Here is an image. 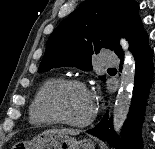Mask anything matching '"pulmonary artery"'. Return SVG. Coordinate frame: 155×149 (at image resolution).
Returning <instances> with one entry per match:
<instances>
[{"mask_svg": "<svg viewBox=\"0 0 155 149\" xmlns=\"http://www.w3.org/2000/svg\"><path fill=\"white\" fill-rule=\"evenodd\" d=\"M101 63L105 66L118 65L119 59L114 52L105 51L101 54Z\"/></svg>", "mask_w": 155, "mask_h": 149, "instance_id": "1", "label": "pulmonary artery"}]
</instances>
